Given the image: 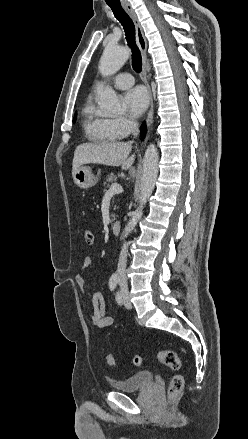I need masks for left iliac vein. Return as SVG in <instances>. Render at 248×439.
Segmentation results:
<instances>
[{
    "instance_id": "1",
    "label": "left iliac vein",
    "mask_w": 248,
    "mask_h": 439,
    "mask_svg": "<svg viewBox=\"0 0 248 439\" xmlns=\"http://www.w3.org/2000/svg\"><path fill=\"white\" fill-rule=\"evenodd\" d=\"M122 302L126 308L130 309L132 307V304L129 300V295L127 292L122 293Z\"/></svg>"
}]
</instances>
